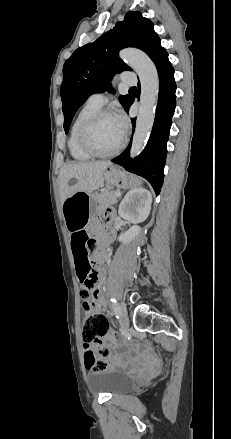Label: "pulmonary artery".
Returning a JSON list of instances; mask_svg holds the SVG:
<instances>
[{
    "mask_svg": "<svg viewBox=\"0 0 231 439\" xmlns=\"http://www.w3.org/2000/svg\"><path fill=\"white\" fill-rule=\"evenodd\" d=\"M121 81L124 85H135L137 79L133 73L124 71L121 74ZM106 95L104 93H94L89 96L88 102L92 103L98 107H102L106 103Z\"/></svg>",
    "mask_w": 231,
    "mask_h": 439,
    "instance_id": "1",
    "label": "pulmonary artery"
}]
</instances>
